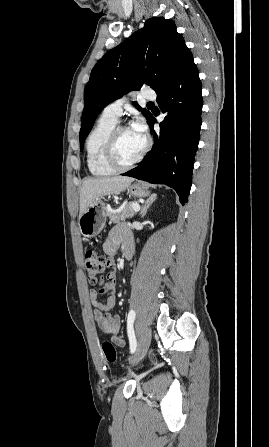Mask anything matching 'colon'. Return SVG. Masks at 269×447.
<instances>
[{
    "label": "colon",
    "instance_id": "obj_1",
    "mask_svg": "<svg viewBox=\"0 0 269 447\" xmlns=\"http://www.w3.org/2000/svg\"><path fill=\"white\" fill-rule=\"evenodd\" d=\"M84 268L87 281L91 284H96L101 279L102 272L107 265V257L104 253L89 250L84 255ZM102 353L105 359L114 363L118 358V352L114 344L109 341H104L101 345Z\"/></svg>",
    "mask_w": 269,
    "mask_h": 447
}]
</instances>
